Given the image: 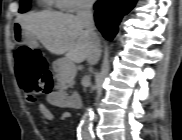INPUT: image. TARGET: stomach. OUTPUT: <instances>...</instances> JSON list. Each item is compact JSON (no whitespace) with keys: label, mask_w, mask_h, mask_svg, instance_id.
Segmentation results:
<instances>
[{"label":"stomach","mask_w":182,"mask_h":140,"mask_svg":"<svg viewBox=\"0 0 182 140\" xmlns=\"http://www.w3.org/2000/svg\"><path fill=\"white\" fill-rule=\"evenodd\" d=\"M10 26L14 27V30H25V25L22 22H11ZM14 43L36 47L37 39L31 36V31H15Z\"/></svg>","instance_id":"1"}]
</instances>
